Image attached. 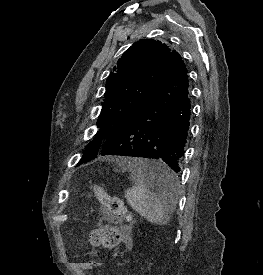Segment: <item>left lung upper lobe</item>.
<instances>
[{"label": "left lung upper lobe", "mask_w": 263, "mask_h": 275, "mask_svg": "<svg viewBox=\"0 0 263 275\" xmlns=\"http://www.w3.org/2000/svg\"><path fill=\"white\" fill-rule=\"evenodd\" d=\"M166 44L142 39L130 46L106 82L99 128L78 165L94 159L104 142L115 135L136 113L166 74L176 55Z\"/></svg>", "instance_id": "1"}]
</instances>
